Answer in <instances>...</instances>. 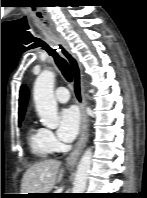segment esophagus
Segmentation results:
<instances>
[{
	"label": "esophagus",
	"mask_w": 147,
	"mask_h": 198,
	"mask_svg": "<svg viewBox=\"0 0 147 198\" xmlns=\"http://www.w3.org/2000/svg\"><path fill=\"white\" fill-rule=\"evenodd\" d=\"M59 53L67 60L70 65L73 76V89L74 94L81 110V133L80 137L75 145L74 150L68 156L66 162L68 165L76 164L79 156L81 155L87 138H88V118L86 115V99L82 80V72L80 64L76 56L71 52L68 44L65 41H61L57 46Z\"/></svg>",
	"instance_id": "obj_1"
}]
</instances>
